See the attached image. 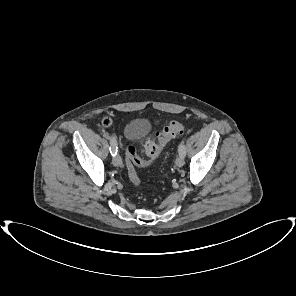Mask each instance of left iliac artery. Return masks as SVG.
Instances as JSON below:
<instances>
[{"label": "left iliac artery", "mask_w": 296, "mask_h": 296, "mask_svg": "<svg viewBox=\"0 0 296 296\" xmlns=\"http://www.w3.org/2000/svg\"><path fill=\"white\" fill-rule=\"evenodd\" d=\"M178 152H179V155H183L185 156L186 154V150H185V145L183 142H181L178 146Z\"/></svg>", "instance_id": "1"}]
</instances>
